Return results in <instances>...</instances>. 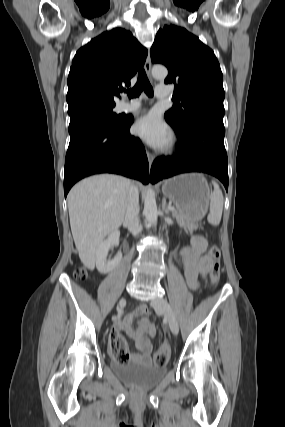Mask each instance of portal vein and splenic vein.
Here are the masks:
<instances>
[{
  "label": "portal vein and splenic vein",
  "instance_id": "1",
  "mask_svg": "<svg viewBox=\"0 0 285 427\" xmlns=\"http://www.w3.org/2000/svg\"><path fill=\"white\" fill-rule=\"evenodd\" d=\"M168 209H169V210H171V211H174V210H175V208H174V207H172V206H169V207H168Z\"/></svg>",
  "mask_w": 285,
  "mask_h": 427
}]
</instances>
